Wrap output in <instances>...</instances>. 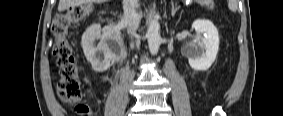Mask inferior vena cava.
<instances>
[{"mask_svg": "<svg viewBox=\"0 0 283 116\" xmlns=\"http://www.w3.org/2000/svg\"><path fill=\"white\" fill-rule=\"evenodd\" d=\"M139 0L124 1V16L123 21L128 28V32L133 35L139 25Z\"/></svg>", "mask_w": 283, "mask_h": 116, "instance_id": "obj_1", "label": "inferior vena cava"}]
</instances>
